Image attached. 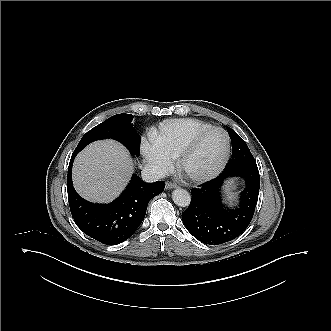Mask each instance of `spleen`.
<instances>
[{"label":"spleen","mask_w":331,"mask_h":331,"mask_svg":"<svg viewBox=\"0 0 331 331\" xmlns=\"http://www.w3.org/2000/svg\"><path fill=\"white\" fill-rule=\"evenodd\" d=\"M225 196L226 200L229 201V204H232L233 200L235 199V195L233 190L236 189V184L233 180L226 182L225 184Z\"/></svg>","instance_id":"3e777b00"}]
</instances>
